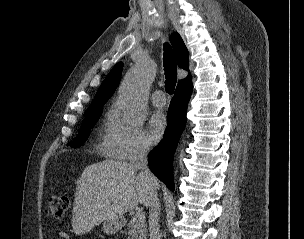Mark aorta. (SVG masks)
<instances>
[{
    "instance_id": "obj_1",
    "label": "aorta",
    "mask_w": 304,
    "mask_h": 239,
    "mask_svg": "<svg viewBox=\"0 0 304 239\" xmlns=\"http://www.w3.org/2000/svg\"><path fill=\"white\" fill-rule=\"evenodd\" d=\"M154 76V65L147 58L126 75L119 89V101L132 120L140 121L144 118L147 111V94Z\"/></svg>"
}]
</instances>
